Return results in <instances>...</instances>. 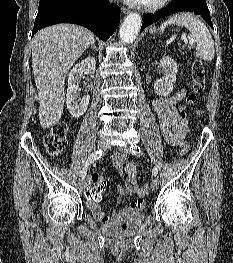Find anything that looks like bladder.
I'll list each match as a JSON object with an SVG mask.
<instances>
[{"mask_svg": "<svg viewBox=\"0 0 233 263\" xmlns=\"http://www.w3.org/2000/svg\"><path fill=\"white\" fill-rule=\"evenodd\" d=\"M144 212L138 209L123 208L109 221L100 225L101 231L111 237L132 235L144 220Z\"/></svg>", "mask_w": 233, "mask_h": 263, "instance_id": "31cf9c89", "label": "bladder"}]
</instances>
